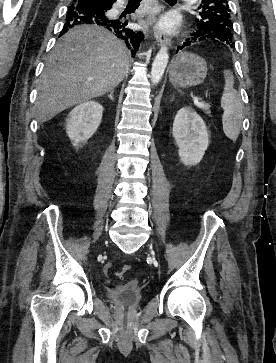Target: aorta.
Instances as JSON below:
<instances>
[{
  "label": "aorta",
  "instance_id": "aorta-1",
  "mask_svg": "<svg viewBox=\"0 0 276 363\" xmlns=\"http://www.w3.org/2000/svg\"><path fill=\"white\" fill-rule=\"evenodd\" d=\"M169 60V53L167 47L163 46L157 53L151 69V82L156 85L162 79L164 71L167 67Z\"/></svg>",
  "mask_w": 276,
  "mask_h": 363
}]
</instances>
